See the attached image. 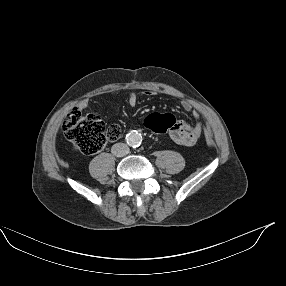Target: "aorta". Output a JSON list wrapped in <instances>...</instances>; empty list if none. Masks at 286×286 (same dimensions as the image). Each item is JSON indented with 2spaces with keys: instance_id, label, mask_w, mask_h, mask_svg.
Here are the masks:
<instances>
[{
  "instance_id": "762f6f07",
  "label": "aorta",
  "mask_w": 286,
  "mask_h": 286,
  "mask_svg": "<svg viewBox=\"0 0 286 286\" xmlns=\"http://www.w3.org/2000/svg\"><path fill=\"white\" fill-rule=\"evenodd\" d=\"M126 142L131 147H138L142 142V135L137 131H131L126 136Z\"/></svg>"
}]
</instances>
